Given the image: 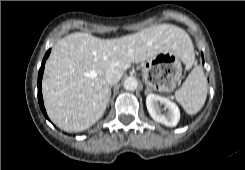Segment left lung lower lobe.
<instances>
[{"mask_svg": "<svg viewBox=\"0 0 245 170\" xmlns=\"http://www.w3.org/2000/svg\"><path fill=\"white\" fill-rule=\"evenodd\" d=\"M202 59H203V61H204L203 54H202Z\"/></svg>", "mask_w": 245, "mask_h": 170, "instance_id": "left-lung-lower-lobe-1", "label": "left lung lower lobe"}]
</instances>
